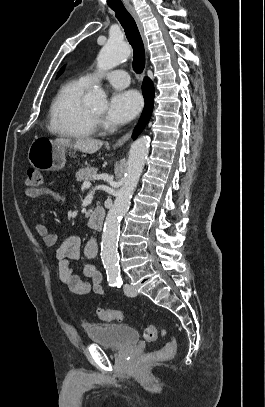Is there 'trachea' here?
<instances>
[{"label": "trachea", "mask_w": 265, "mask_h": 407, "mask_svg": "<svg viewBox=\"0 0 265 407\" xmlns=\"http://www.w3.org/2000/svg\"><path fill=\"white\" fill-rule=\"evenodd\" d=\"M111 9L116 13V18L124 28L127 39L133 48V69L137 74H140L145 67V50L136 22L124 6L111 7Z\"/></svg>", "instance_id": "obj_1"}]
</instances>
